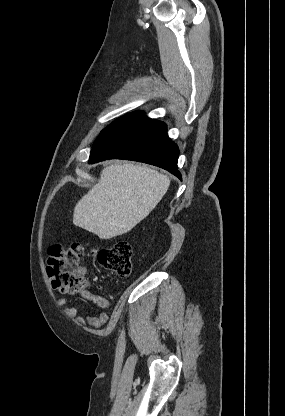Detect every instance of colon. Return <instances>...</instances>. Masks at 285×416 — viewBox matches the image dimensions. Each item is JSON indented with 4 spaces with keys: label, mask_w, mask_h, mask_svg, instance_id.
Listing matches in <instances>:
<instances>
[{
    "label": "colon",
    "mask_w": 285,
    "mask_h": 416,
    "mask_svg": "<svg viewBox=\"0 0 285 416\" xmlns=\"http://www.w3.org/2000/svg\"><path fill=\"white\" fill-rule=\"evenodd\" d=\"M84 253L85 249L79 243L50 247L47 274L53 288L72 294L86 286L85 269L80 265ZM95 257L102 267L120 277L126 278L131 274L132 247L127 241H118L108 248L96 250Z\"/></svg>",
    "instance_id": "colon-1"
}]
</instances>
